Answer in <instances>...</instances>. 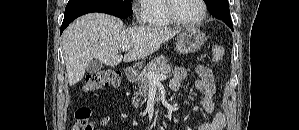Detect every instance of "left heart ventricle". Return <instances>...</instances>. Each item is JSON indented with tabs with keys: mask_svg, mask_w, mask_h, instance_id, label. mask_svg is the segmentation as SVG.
<instances>
[{
	"mask_svg": "<svg viewBox=\"0 0 299 130\" xmlns=\"http://www.w3.org/2000/svg\"><path fill=\"white\" fill-rule=\"evenodd\" d=\"M174 7L177 16L185 21L196 20L202 11L198 0H176Z\"/></svg>",
	"mask_w": 299,
	"mask_h": 130,
	"instance_id": "1",
	"label": "left heart ventricle"
}]
</instances>
